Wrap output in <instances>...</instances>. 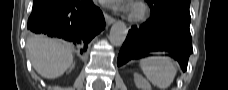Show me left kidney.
<instances>
[{"label": "left kidney", "mask_w": 228, "mask_h": 90, "mask_svg": "<svg viewBox=\"0 0 228 90\" xmlns=\"http://www.w3.org/2000/svg\"><path fill=\"white\" fill-rule=\"evenodd\" d=\"M134 82L137 88L140 90H151V85L149 82L140 74L134 73Z\"/></svg>", "instance_id": "left-kidney-1"}]
</instances>
